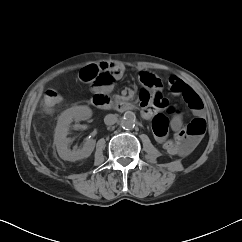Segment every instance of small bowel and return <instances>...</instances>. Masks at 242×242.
Segmentation results:
<instances>
[{"label":"small bowel","mask_w":242,"mask_h":242,"mask_svg":"<svg viewBox=\"0 0 242 242\" xmlns=\"http://www.w3.org/2000/svg\"><path fill=\"white\" fill-rule=\"evenodd\" d=\"M102 67L104 69L111 71L114 74L115 76L114 81L120 79L124 73V68L121 65H118L116 63H111V62L103 63ZM143 74H151V73L142 72L140 74V80ZM176 83H178L181 86V88L189 87L184 81H182L178 77L171 76L169 79V85L171 89L176 85ZM94 88H95V91L106 92L111 89V83L106 86H94ZM176 94H179V93H176ZM140 100L142 105V115L146 120H152V123H153V121L157 116L163 115L167 121L168 127L170 126L173 131L174 142H171L168 140L167 132L161 136L155 134L158 137V141L166 145L167 147H169L174 153L180 156L189 155L194 150V148L199 144L201 138L203 137V135H197V134L192 135L188 133L189 127L194 128L193 123L195 121H200L202 125H204V127L206 128V120L204 117L203 104L201 99H200V104L197 107L191 108L194 118L191 121V123L188 124L187 126H185L183 123V117L181 113L175 107L168 106L163 99L156 101L154 100V97L150 95V98L147 101L144 99V94L142 93L140 96ZM155 107L166 109L167 112L171 115V117L168 118L166 115L162 113H156Z\"/></svg>","instance_id":"c3829d8e"}]
</instances>
